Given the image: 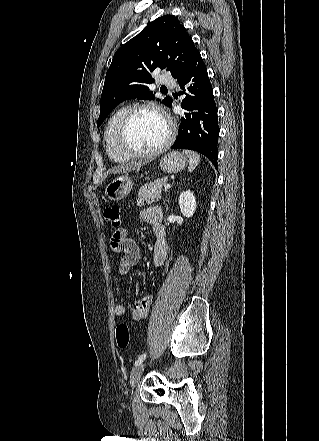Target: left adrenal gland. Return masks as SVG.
I'll use <instances>...</instances> for the list:
<instances>
[{
    "label": "left adrenal gland",
    "mask_w": 319,
    "mask_h": 441,
    "mask_svg": "<svg viewBox=\"0 0 319 441\" xmlns=\"http://www.w3.org/2000/svg\"><path fill=\"white\" fill-rule=\"evenodd\" d=\"M165 203V202H164ZM165 206H166V209H168V206H167V204L165 203Z\"/></svg>",
    "instance_id": "a2214340"
}]
</instances>
